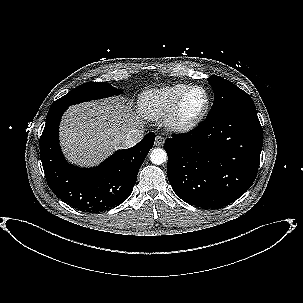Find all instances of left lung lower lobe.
<instances>
[{
  "mask_svg": "<svg viewBox=\"0 0 303 303\" xmlns=\"http://www.w3.org/2000/svg\"><path fill=\"white\" fill-rule=\"evenodd\" d=\"M262 143L256 109L206 118L191 132L165 141L172 189L198 207L233 202L257 176Z\"/></svg>",
  "mask_w": 303,
  "mask_h": 303,
  "instance_id": "1",
  "label": "left lung lower lobe"
}]
</instances>
